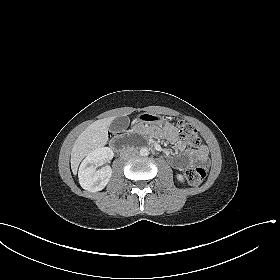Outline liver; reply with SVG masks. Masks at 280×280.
<instances>
[{"label":"liver","instance_id":"1","mask_svg":"<svg viewBox=\"0 0 280 280\" xmlns=\"http://www.w3.org/2000/svg\"><path fill=\"white\" fill-rule=\"evenodd\" d=\"M115 116L104 118L89 125L76 139L71 150V169L77 173L82 159L96 148L103 147L108 141V128Z\"/></svg>","mask_w":280,"mask_h":280}]
</instances>
